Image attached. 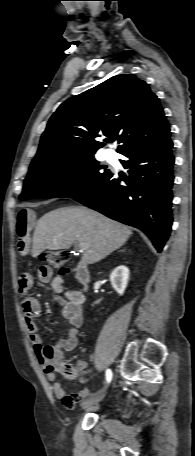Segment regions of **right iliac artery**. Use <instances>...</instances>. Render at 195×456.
Instances as JSON below:
<instances>
[{
    "label": "right iliac artery",
    "instance_id": "right-iliac-artery-1",
    "mask_svg": "<svg viewBox=\"0 0 195 456\" xmlns=\"http://www.w3.org/2000/svg\"><path fill=\"white\" fill-rule=\"evenodd\" d=\"M111 379H112V372H111L110 369H107V371H106V380L109 383L111 381Z\"/></svg>",
    "mask_w": 195,
    "mask_h": 456
}]
</instances>
